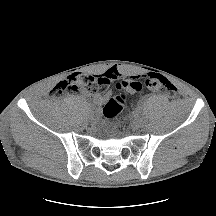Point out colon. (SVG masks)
Here are the masks:
<instances>
[{"label":"colon","instance_id":"1","mask_svg":"<svg viewBox=\"0 0 216 216\" xmlns=\"http://www.w3.org/2000/svg\"><path fill=\"white\" fill-rule=\"evenodd\" d=\"M110 78L106 75H72L69 78L59 82L54 92L57 94H80V95H97L105 93L110 87ZM145 85L150 90L162 93L169 97L174 96L175 86L166 78L160 75L148 76ZM120 91H139L142 84L137 80H127L116 84ZM125 95L123 93L111 98L103 107V114L106 118H114L124 108Z\"/></svg>","mask_w":216,"mask_h":216}]
</instances>
